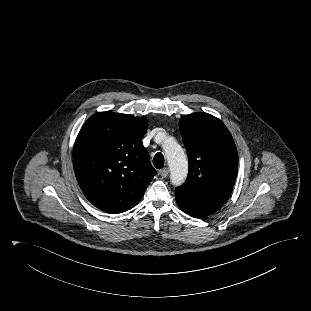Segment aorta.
<instances>
[{"label":"aorta","mask_w":311,"mask_h":311,"mask_svg":"<svg viewBox=\"0 0 311 311\" xmlns=\"http://www.w3.org/2000/svg\"><path fill=\"white\" fill-rule=\"evenodd\" d=\"M163 149L170 168V181L174 186H179L184 183L188 174L187 157L173 137H165Z\"/></svg>","instance_id":"obj_1"}]
</instances>
